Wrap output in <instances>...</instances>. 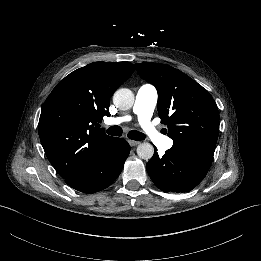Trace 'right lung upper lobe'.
<instances>
[{
  "label": "right lung upper lobe",
  "instance_id": "cb5924a9",
  "mask_svg": "<svg viewBox=\"0 0 261 261\" xmlns=\"http://www.w3.org/2000/svg\"><path fill=\"white\" fill-rule=\"evenodd\" d=\"M135 70L130 62H93L66 76L46 99L38 125L46 156L62 178L99 159L115 137L96 128L110 98Z\"/></svg>",
  "mask_w": 261,
  "mask_h": 261
}]
</instances>
